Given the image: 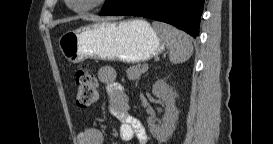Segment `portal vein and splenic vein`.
I'll use <instances>...</instances> for the list:
<instances>
[{
  "label": "portal vein and splenic vein",
  "mask_w": 273,
  "mask_h": 144,
  "mask_svg": "<svg viewBox=\"0 0 273 144\" xmlns=\"http://www.w3.org/2000/svg\"><path fill=\"white\" fill-rule=\"evenodd\" d=\"M143 66H144V68H146V69L148 68V64H144Z\"/></svg>",
  "instance_id": "portal-vein-and-splenic-vein-1"
}]
</instances>
